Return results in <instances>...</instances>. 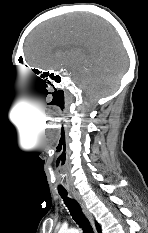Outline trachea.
I'll list each match as a JSON object with an SVG mask.
<instances>
[{"label":"trachea","mask_w":148,"mask_h":233,"mask_svg":"<svg viewBox=\"0 0 148 233\" xmlns=\"http://www.w3.org/2000/svg\"><path fill=\"white\" fill-rule=\"evenodd\" d=\"M60 196L63 198L65 205L68 207L71 216L75 222L83 229L84 233H93V229L88 219L83 214L79 204L67 196L66 191H59Z\"/></svg>","instance_id":"trachea-1"}]
</instances>
